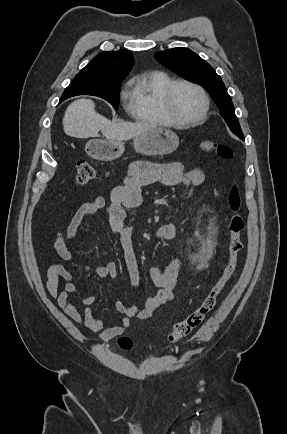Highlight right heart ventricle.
Here are the masks:
<instances>
[{"instance_id": "right-heart-ventricle-1", "label": "right heart ventricle", "mask_w": 287, "mask_h": 434, "mask_svg": "<svg viewBox=\"0 0 287 434\" xmlns=\"http://www.w3.org/2000/svg\"><path fill=\"white\" fill-rule=\"evenodd\" d=\"M172 81V77L163 71L145 72L135 76L131 81L128 111L142 122L173 125L162 104L164 90Z\"/></svg>"}]
</instances>
